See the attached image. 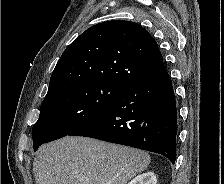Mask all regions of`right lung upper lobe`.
Listing matches in <instances>:
<instances>
[{
  "label": "right lung upper lobe",
  "mask_w": 224,
  "mask_h": 184,
  "mask_svg": "<svg viewBox=\"0 0 224 184\" xmlns=\"http://www.w3.org/2000/svg\"><path fill=\"white\" fill-rule=\"evenodd\" d=\"M168 74L157 42L141 25L124 20L96 24L63 52L44 99L82 82L131 84Z\"/></svg>",
  "instance_id": "1"
}]
</instances>
